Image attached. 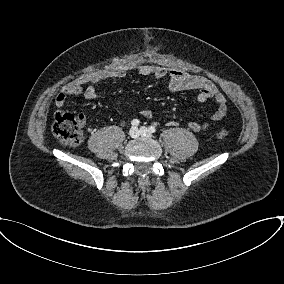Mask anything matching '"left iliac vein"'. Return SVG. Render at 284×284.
<instances>
[{"label":"left iliac vein","instance_id":"obj_1","mask_svg":"<svg viewBox=\"0 0 284 284\" xmlns=\"http://www.w3.org/2000/svg\"><path fill=\"white\" fill-rule=\"evenodd\" d=\"M139 133H140V135H142L144 137H148V138L152 137V134L149 131V129L147 127H144V126L140 127Z\"/></svg>","mask_w":284,"mask_h":284}]
</instances>
